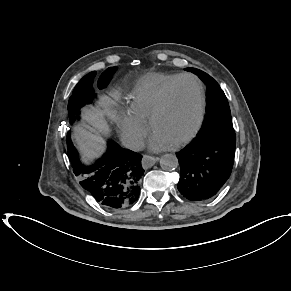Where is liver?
I'll return each mask as SVG.
<instances>
[{
	"mask_svg": "<svg viewBox=\"0 0 291 291\" xmlns=\"http://www.w3.org/2000/svg\"><path fill=\"white\" fill-rule=\"evenodd\" d=\"M103 111L95 109H87L84 112L85 121L91 126H77L73 129V135L76 143L86 159L92 160L99 157L105 150V141L101 135L95 133L98 131L108 134L109 126L107 125L103 113L107 114L111 119H116L115 111L113 110L114 101L108 97H101L98 102Z\"/></svg>",
	"mask_w": 291,
	"mask_h": 291,
	"instance_id": "1",
	"label": "liver"
}]
</instances>
